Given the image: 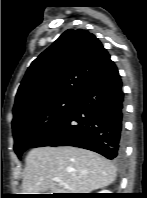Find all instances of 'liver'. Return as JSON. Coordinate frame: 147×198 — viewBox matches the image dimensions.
<instances>
[{"instance_id":"6515ba94","label":"liver","mask_w":147,"mask_h":198,"mask_svg":"<svg viewBox=\"0 0 147 198\" xmlns=\"http://www.w3.org/2000/svg\"><path fill=\"white\" fill-rule=\"evenodd\" d=\"M116 175L113 163L95 152L72 146L38 147L26 157L22 192L90 193L113 183Z\"/></svg>"}]
</instances>
